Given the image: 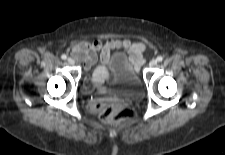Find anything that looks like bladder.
<instances>
[{
	"instance_id": "bladder-1",
	"label": "bladder",
	"mask_w": 225,
	"mask_h": 155,
	"mask_svg": "<svg viewBox=\"0 0 225 155\" xmlns=\"http://www.w3.org/2000/svg\"><path fill=\"white\" fill-rule=\"evenodd\" d=\"M107 67L113 77L124 84L127 90L133 94H138L142 90V84L138 73L130 65L124 53L116 52L110 56Z\"/></svg>"
}]
</instances>
